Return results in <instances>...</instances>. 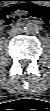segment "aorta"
Returning a JSON list of instances; mask_svg holds the SVG:
<instances>
[{
  "label": "aorta",
  "mask_w": 50,
  "mask_h": 111,
  "mask_svg": "<svg viewBox=\"0 0 50 111\" xmlns=\"http://www.w3.org/2000/svg\"><path fill=\"white\" fill-rule=\"evenodd\" d=\"M38 31H39L38 25L33 22L27 23L26 26L24 27V32L30 35H35L38 33Z\"/></svg>",
  "instance_id": "obj_1"
}]
</instances>
